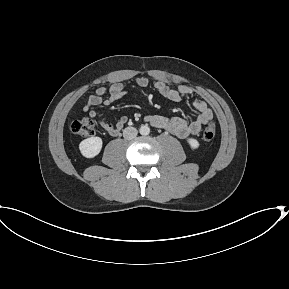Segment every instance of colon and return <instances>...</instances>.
<instances>
[{
	"instance_id": "obj_1",
	"label": "colon",
	"mask_w": 289,
	"mask_h": 289,
	"mask_svg": "<svg viewBox=\"0 0 289 289\" xmlns=\"http://www.w3.org/2000/svg\"><path fill=\"white\" fill-rule=\"evenodd\" d=\"M70 131L81 137H89L95 133V123L90 118L73 119L69 124ZM216 134V126L213 122L207 123L202 136L206 141H211Z\"/></svg>"
}]
</instances>
